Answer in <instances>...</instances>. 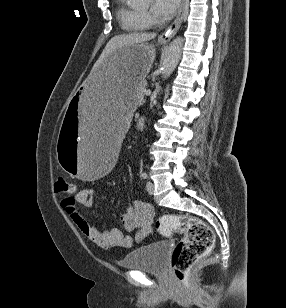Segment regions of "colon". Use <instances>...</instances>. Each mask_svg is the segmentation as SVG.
Here are the masks:
<instances>
[{
	"mask_svg": "<svg viewBox=\"0 0 286 308\" xmlns=\"http://www.w3.org/2000/svg\"><path fill=\"white\" fill-rule=\"evenodd\" d=\"M55 192L72 197L75 184L65 178L55 182ZM157 228L163 236L181 232L184 237L176 245L171 259L172 269L182 284L188 282V271L213 247L215 235L209 225L202 220L187 215H163L157 222Z\"/></svg>",
	"mask_w": 286,
	"mask_h": 308,
	"instance_id": "colon-1",
	"label": "colon"
}]
</instances>
